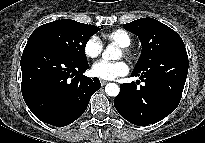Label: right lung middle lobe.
Instances as JSON below:
<instances>
[{
  "label": "right lung middle lobe",
  "instance_id": "dd1d6c3e",
  "mask_svg": "<svg viewBox=\"0 0 205 143\" xmlns=\"http://www.w3.org/2000/svg\"><path fill=\"white\" fill-rule=\"evenodd\" d=\"M99 30L94 25L61 19L39 26L28 41L42 42L76 62L87 63L86 43Z\"/></svg>",
  "mask_w": 205,
  "mask_h": 143
}]
</instances>
